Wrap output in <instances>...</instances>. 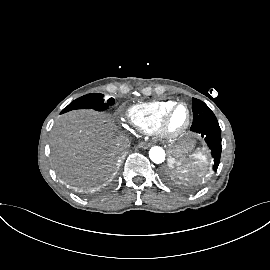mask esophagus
Segmentation results:
<instances>
[{
  "instance_id": "1",
  "label": "esophagus",
  "mask_w": 270,
  "mask_h": 270,
  "mask_svg": "<svg viewBox=\"0 0 270 270\" xmlns=\"http://www.w3.org/2000/svg\"><path fill=\"white\" fill-rule=\"evenodd\" d=\"M151 146V144L150 143H146V142H141L140 144H139V147L140 148H143V149H147V148H149Z\"/></svg>"
}]
</instances>
